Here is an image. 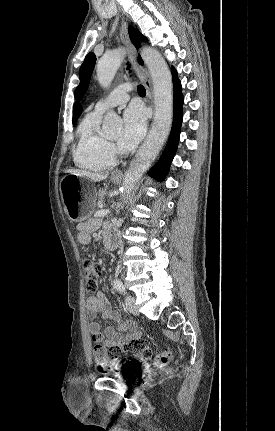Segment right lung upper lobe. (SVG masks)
I'll return each mask as SVG.
<instances>
[{"mask_svg": "<svg viewBox=\"0 0 275 431\" xmlns=\"http://www.w3.org/2000/svg\"><path fill=\"white\" fill-rule=\"evenodd\" d=\"M129 36L131 38V41L135 45V47L138 48L140 46V41L136 37L132 26L129 27ZM139 61H140L141 64L143 63V61H142V59H141L140 56H139ZM81 112H82V107L80 106L79 103H75L74 104V108H73V124L76 123V121L79 118Z\"/></svg>", "mask_w": 275, "mask_h": 431, "instance_id": "obj_1", "label": "right lung upper lobe"}]
</instances>
